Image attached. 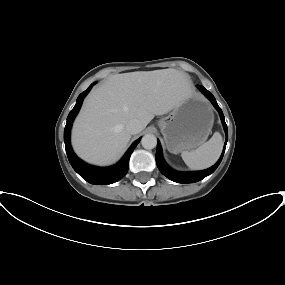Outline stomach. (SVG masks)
I'll return each mask as SVG.
<instances>
[{"instance_id":"obj_1","label":"stomach","mask_w":285,"mask_h":285,"mask_svg":"<svg viewBox=\"0 0 285 285\" xmlns=\"http://www.w3.org/2000/svg\"><path fill=\"white\" fill-rule=\"evenodd\" d=\"M214 121L210 104L200 95L181 102L158 122L167 149L174 154L195 149L207 140Z\"/></svg>"}]
</instances>
